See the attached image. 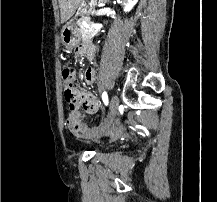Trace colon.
Returning a JSON list of instances; mask_svg holds the SVG:
<instances>
[{"label": "colon", "mask_w": 217, "mask_h": 202, "mask_svg": "<svg viewBox=\"0 0 217 202\" xmlns=\"http://www.w3.org/2000/svg\"><path fill=\"white\" fill-rule=\"evenodd\" d=\"M61 74L65 101L69 109L74 112L81 106V102H86L87 100H85V96H78L82 95V90H76L74 87V82H78L79 79L76 73L72 69H61ZM77 121H79L78 117L76 118L75 116L66 118V126L69 131H75L74 127ZM81 131L87 138L91 134V129H87V123H82Z\"/></svg>", "instance_id": "5ec220e1"}]
</instances>
